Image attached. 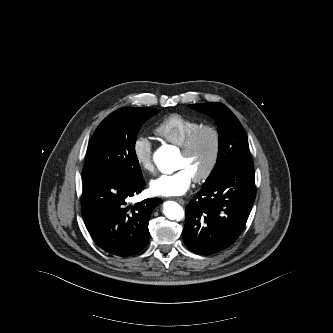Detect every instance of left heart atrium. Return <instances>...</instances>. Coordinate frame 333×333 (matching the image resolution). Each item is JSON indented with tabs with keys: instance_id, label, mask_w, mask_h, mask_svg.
Instances as JSON below:
<instances>
[{
	"instance_id": "1",
	"label": "left heart atrium",
	"mask_w": 333,
	"mask_h": 333,
	"mask_svg": "<svg viewBox=\"0 0 333 333\" xmlns=\"http://www.w3.org/2000/svg\"><path fill=\"white\" fill-rule=\"evenodd\" d=\"M193 181L191 174L181 168L171 174H164L150 182V190L154 195L174 197L185 194Z\"/></svg>"
}]
</instances>
